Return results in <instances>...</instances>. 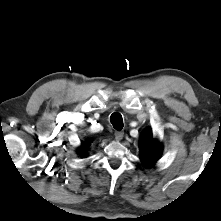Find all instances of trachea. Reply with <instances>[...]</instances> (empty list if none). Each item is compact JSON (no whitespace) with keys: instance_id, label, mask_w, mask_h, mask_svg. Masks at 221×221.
<instances>
[{"instance_id":"trachea-1","label":"trachea","mask_w":221,"mask_h":221,"mask_svg":"<svg viewBox=\"0 0 221 221\" xmlns=\"http://www.w3.org/2000/svg\"><path fill=\"white\" fill-rule=\"evenodd\" d=\"M110 122L112 123L113 127L120 131L123 128V119L120 113H113L110 116Z\"/></svg>"}]
</instances>
